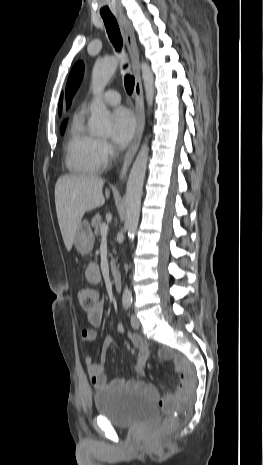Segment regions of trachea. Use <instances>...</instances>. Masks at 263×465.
I'll use <instances>...</instances> for the list:
<instances>
[{
  "mask_svg": "<svg viewBox=\"0 0 263 465\" xmlns=\"http://www.w3.org/2000/svg\"><path fill=\"white\" fill-rule=\"evenodd\" d=\"M102 18L110 41L112 42L116 51H120L122 49V37L115 17L102 16ZM134 84V77L129 74H126L124 78V85L128 94H131L133 92Z\"/></svg>",
  "mask_w": 263,
  "mask_h": 465,
  "instance_id": "obj_1",
  "label": "trachea"
}]
</instances>
